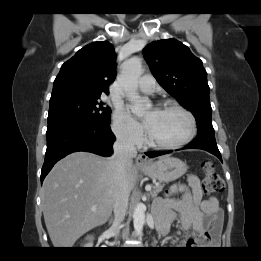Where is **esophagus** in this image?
Wrapping results in <instances>:
<instances>
[{
  "mask_svg": "<svg viewBox=\"0 0 261 261\" xmlns=\"http://www.w3.org/2000/svg\"><path fill=\"white\" fill-rule=\"evenodd\" d=\"M135 163L136 166L140 169L147 168L150 165L149 161L147 160V156L145 154L138 155Z\"/></svg>",
  "mask_w": 261,
  "mask_h": 261,
  "instance_id": "1",
  "label": "esophagus"
}]
</instances>
